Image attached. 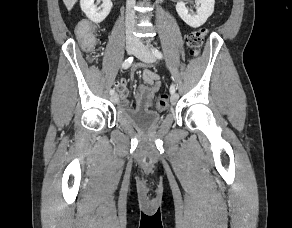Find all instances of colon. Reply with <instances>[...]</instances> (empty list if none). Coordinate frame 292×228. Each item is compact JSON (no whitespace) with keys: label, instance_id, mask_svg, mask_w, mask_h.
Masks as SVG:
<instances>
[{"label":"colon","instance_id":"1","mask_svg":"<svg viewBox=\"0 0 292 228\" xmlns=\"http://www.w3.org/2000/svg\"><path fill=\"white\" fill-rule=\"evenodd\" d=\"M76 34L82 45L87 51H92L96 44V38L94 34L93 26L90 24H80L76 29ZM207 34L206 29H200L193 31L188 35L187 44L190 50V54L196 56L199 54L203 45L205 36ZM155 108L159 111H164L169 106V97L166 94L159 95L154 102Z\"/></svg>","mask_w":292,"mask_h":228}]
</instances>
